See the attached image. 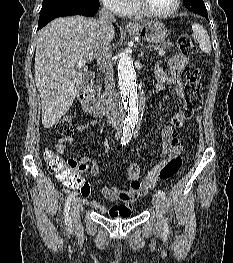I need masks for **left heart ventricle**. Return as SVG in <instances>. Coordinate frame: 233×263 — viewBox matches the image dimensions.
<instances>
[{
	"label": "left heart ventricle",
	"mask_w": 233,
	"mask_h": 263,
	"mask_svg": "<svg viewBox=\"0 0 233 263\" xmlns=\"http://www.w3.org/2000/svg\"><path fill=\"white\" fill-rule=\"evenodd\" d=\"M145 5L153 12L163 13L173 8L175 0H143Z\"/></svg>",
	"instance_id": "b2bd125f"
}]
</instances>
